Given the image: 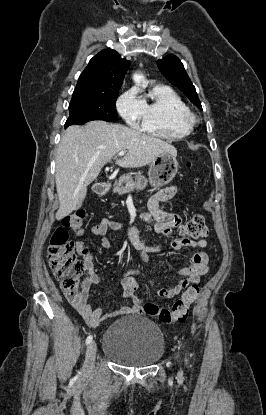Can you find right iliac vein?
<instances>
[{
  "label": "right iliac vein",
  "mask_w": 266,
  "mask_h": 415,
  "mask_svg": "<svg viewBox=\"0 0 266 415\" xmlns=\"http://www.w3.org/2000/svg\"><path fill=\"white\" fill-rule=\"evenodd\" d=\"M97 346L94 341H92L86 350L85 355V363H84V369L86 371L91 370L93 368L94 362H95V356H96Z\"/></svg>",
  "instance_id": "right-iliac-vein-1"
}]
</instances>
